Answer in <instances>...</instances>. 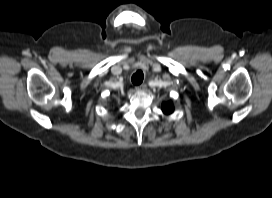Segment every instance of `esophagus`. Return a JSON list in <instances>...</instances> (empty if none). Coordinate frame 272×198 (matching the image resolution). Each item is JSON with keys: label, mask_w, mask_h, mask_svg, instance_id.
Here are the masks:
<instances>
[{"label": "esophagus", "mask_w": 272, "mask_h": 198, "mask_svg": "<svg viewBox=\"0 0 272 198\" xmlns=\"http://www.w3.org/2000/svg\"><path fill=\"white\" fill-rule=\"evenodd\" d=\"M146 89V85L145 84H141L139 86L136 87V90L138 92H143Z\"/></svg>", "instance_id": "1"}]
</instances>
